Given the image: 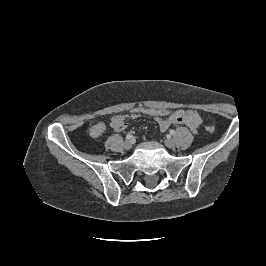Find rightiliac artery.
I'll return each mask as SVG.
<instances>
[{
	"instance_id": "right-iliac-artery-1",
	"label": "right iliac artery",
	"mask_w": 266,
	"mask_h": 266,
	"mask_svg": "<svg viewBox=\"0 0 266 266\" xmlns=\"http://www.w3.org/2000/svg\"><path fill=\"white\" fill-rule=\"evenodd\" d=\"M134 137H133V135L132 134H127L126 135V139L127 140H131V139H133Z\"/></svg>"
}]
</instances>
